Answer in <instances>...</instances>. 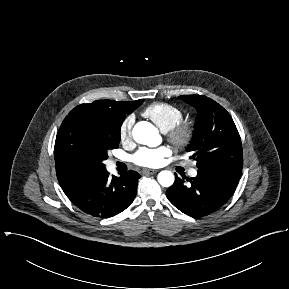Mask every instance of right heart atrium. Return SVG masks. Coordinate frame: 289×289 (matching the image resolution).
Listing matches in <instances>:
<instances>
[{"label":"right heart atrium","mask_w":289,"mask_h":289,"mask_svg":"<svg viewBox=\"0 0 289 289\" xmlns=\"http://www.w3.org/2000/svg\"><path fill=\"white\" fill-rule=\"evenodd\" d=\"M133 124L134 117L132 115L127 116L121 123L119 128V137L123 143L131 141Z\"/></svg>","instance_id":"right-heart-atrium-1"}]
</instances>
